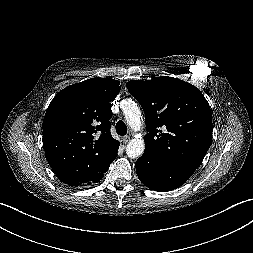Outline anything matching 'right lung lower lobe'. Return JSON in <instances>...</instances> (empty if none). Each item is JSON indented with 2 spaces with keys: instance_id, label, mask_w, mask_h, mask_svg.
Listing matches in <instances>:
<instances>
[{
  "instance_id": "1",
  "label": "right lung lower lobe",
  "mask_w": 253,
  "mask_h": 253,
  "mask_svg": "<svg viewBox=\"0 0 253 253\" xmlns=\"http://www.w3.org/2000/svg\"><path fill=\"white\" fill-rule=\"evenodd\" d=\"M104 174H100L99 176H97L96 178H94L93 180L91 181H88V182H85V183H70L68 185L70 186H79V185H82V184H91V183H96L98 181H100L102 178H103Z\"/></svg>"
}]
</instances>
